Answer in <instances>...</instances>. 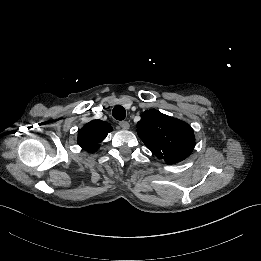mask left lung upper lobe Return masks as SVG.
<instances>
[{
  "label": "left lung upper lobe",
  "mask_w": 261,
  "mask_h": 261,
  "mask_svg": "<svg viewBox=\"0 0 261 261\" xmlns=\"http://www.w3.org/2000/svg\"><path fill=\"white\" fill-rule=\"evenodd\" d=\"M137 133L146 147L168 164L184 160L195 146L193 130L187 123L156 110L143 112Z\"/></svg>",
  "instance_id": "5c2ea615"
}]
</instances>
